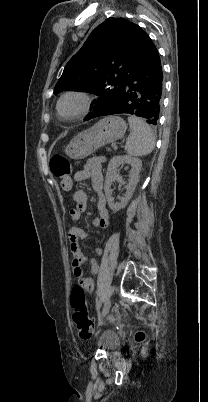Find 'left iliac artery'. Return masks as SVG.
I'll return each mask as SVG.
<instances>
[{"mask_svg":"<svg viewBox=\"0 0 208 402\" xmlns=\"http://www.w3.org/2000/svg\"><path fill=\"white\" fill-rule=\"evenodd\" d=\"M100 306H101V303L98 302V304H97V309H98V310L100 309Z\"/></svg>","mask_w":208,"mask_h":402,"instance_id":"left-iliac-artery-1","label":"left iliac artery"}]
</instances>
